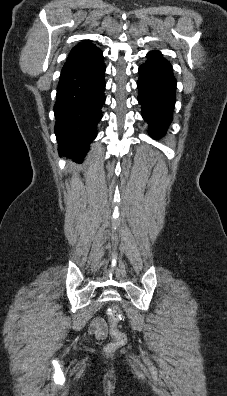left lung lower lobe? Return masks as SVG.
Here are the masks:
<instances>
[{
  "instance_id": "left-lung-lower-lobe-1",
  "label": "left lung lower lobe",
  "mask_w": 227,
  "mask_h": 396,
  "mask_svg": "<svg viewBox=\"0 0 227 396\" xmlns=\"http://www.w3.org/2000/svg\"><path fill=\"white\" fill-rule=\"evenodd\" d=\"M147 57L139 67L138 101L150 135L157 139L165 135L172 120L176 80L171 64L159 51H151Z\"/></svg>"
}]
</instances>
